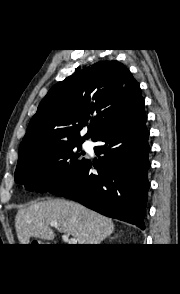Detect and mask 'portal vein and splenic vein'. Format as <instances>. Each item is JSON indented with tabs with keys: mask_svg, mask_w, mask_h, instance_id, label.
<instances>
[{
	"mask_svg": "<svg viewBox=\"0 0 180 294\" xmlns=\"http://www.w3.org/2000/svg\"><path fill=\"white\" fill-rule=\"evenodd\" d=\"M50 226L55 227V228H59V227H60L59 224H58L57 222H55V221L50 222ZM62 239H63V241H65L67 244H71V245H75V244H77V239H76V238H70V239H69V236L66 235V234H63V235H62Z\"/></svg>",
	"mask_w": 180,
	"mask_h": 294,
	"instance_id": "obj_1",
	"label": "portal vein and splenic vein"
}]
</instances>
